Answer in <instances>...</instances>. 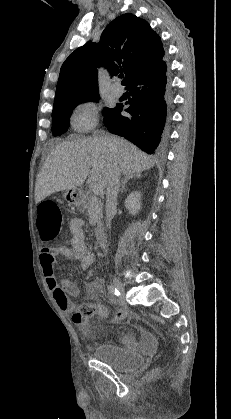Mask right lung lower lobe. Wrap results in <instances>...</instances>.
Segmentation results:
<instances>
[{
	"instance_id": "1",
	"label": "right lung lower lobe",
	"mask_w": 231,
	"mask_h": 419,
	"mask_svg": "<svg viewBox=\"0 0 231 419\" xmlns=\"http://www.w3.org/2000/svg\"><path fill=\"white\" fill-rule=\"evenodd\" d=\"M166 63L156 65L135 77L126 87L132 99L126 104L128 116H122V104L103 119L107 129L125 137L147 153L160 152L167 137V106L170 90L167 84Z\"/></svg>"
}]
</instances>
